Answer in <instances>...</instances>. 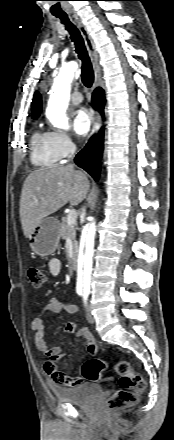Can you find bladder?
Listing matches in <instances>:
<instances>
[{
    "mask_svg": "<svg viewBox=\"0 0 174 440\" xmlns=\"http://www.w3.org/2000/svg\"><path fill=\"white\" fill-rule=\"evenodd\" d=\"M53 392L61 402L88 404L99 396L102 388L99 385L83 383L73 387H53Z\"/></svg>",
    "mask_w": 174,
    "mask_h": 440,
    "instance_id": "31cf9c89",
    "label": "bladder"
}]
</instances>
